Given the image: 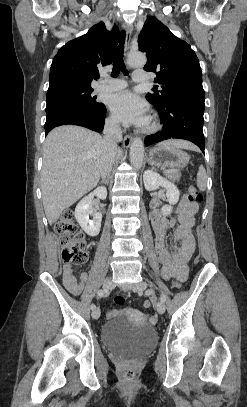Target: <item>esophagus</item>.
Returning <instances> with one entry per match:
<instances>
[{
	"label": "esophagus",
	"instance_id": "esophagus-1",
	"mask_svg": "<svg viewBox=\"0 0 247 407\" xmlns=\"http://www.w3.org/2000/svg\"><path fill=\"white\" fill-rule=\"evenodd\" d=\"M125 31H126V36H125V54L127 55L130 49V42H131V35L133 31V26L131 24H124L123 25ZM132 136L131 135H125L123 139V144L124 147L128 148L130 147L132 143Z\"/></svg>",
	"mask_w": 247,
	"mask_h": 407
}]
</instances>
